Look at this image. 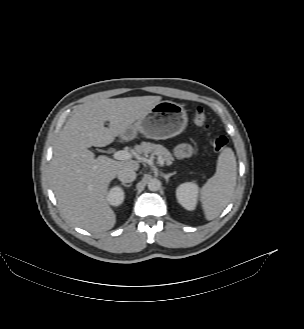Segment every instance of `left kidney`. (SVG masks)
<instances>
[{"instance_id":"obj_1","label":"left kidney","mask_w":304,"mask_h":329,"mask_svg":"<svg viewBox=\"0 0 304 329\" xmlns=\"http://www.w3.org/2000/svg\"><path fill=\"white\" fill-rule=\"evenodd\" d=\"M199 187L196 183L186 182L176 189L178 202L187 210H194L197 205Z\"/></svg>"}]
</instances>
